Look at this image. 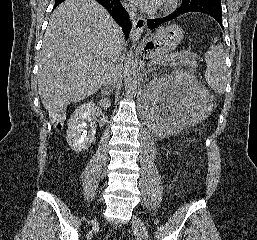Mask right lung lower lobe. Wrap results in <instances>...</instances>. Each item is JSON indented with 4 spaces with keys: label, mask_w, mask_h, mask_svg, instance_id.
Wrapping results in <instances>:
<instances>
[{
    "label": "right lung lower lobe",
    "mask_w": 257,
    "mask_h": 240,
    "mask_svg": "<svg viewBox=\"0 0 257 240\" xmlns=\"http://www.w3.org/2000/svg\"><path fill=\"white\" fill-rule=\"evenodd\" d=\"M111 14L114 20L123 28L126 39L129 37L131 23L128 12L123 8L119 0H96ZM58 5H55V7ZM125 22H128L125 24Z\"/></svg>",
    "instance_id": "obj_1"
}]
</instances>
